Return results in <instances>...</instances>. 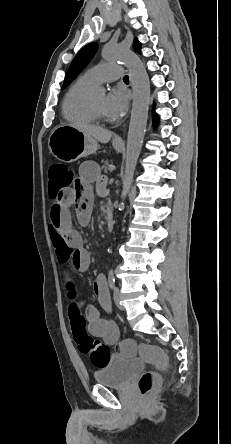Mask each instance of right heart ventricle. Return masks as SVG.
<instances>
[{"label":"right heart ventricle","mask_w":231,"mask_h":444,"mask_svg":"<svg viewBox=\"0 0 231 444\" xmlns=\"http://www.w3.org/2000/svg\"><path fill=\"white\" fill-rule=\"evenodd\" d=\"M95 84L84 76L78 78L67 91L62 105L64 118L76 124H91L95 120L89 110V99Z\"/></svg>","instance_id":"1"}]
</instances>
